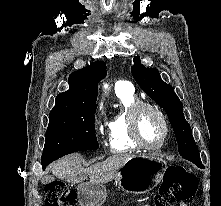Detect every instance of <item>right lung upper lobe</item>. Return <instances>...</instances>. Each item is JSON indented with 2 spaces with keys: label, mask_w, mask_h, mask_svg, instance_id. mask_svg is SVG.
Wrapping results in <instances>:
<instances>
[{
  "label": "right lung upper lobe",
  "mask_w": 221,
  "mask_h": 206,
  "mask_svg": "<svg viewBox=\"0 0 221 206\" xmlns=\"http://www.w3.org/2000/svg\"><path fill=\"white\" fill-rule=\"evenodd\" d=\"M106 76L103 61L91 63L69 76V90L57 95L52 111L79 110L96 107L98 82Z\"/></svg>",
  "instance_id": "1"
}]
</instances>
